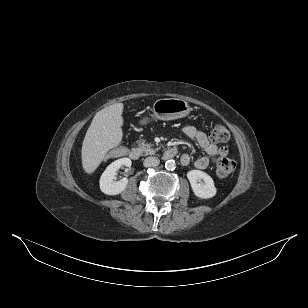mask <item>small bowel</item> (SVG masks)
I'll list each match as a JSON object with an SVG mask.
<instances>
[{
    "label": "small bowel",
    "mask_w": 308,
    "mask_h": 308,
    "mask_svg": "<svg viewBox=\"0 0 308 308\" xmlns=\"http://www.w3.org/2000/svg\"><path fill=\"white\" fill-rule=\"evenodd\" d=\"M182 132L204 150L205 156L198 157L194 165L198 169H206L212 162L219 160L221 157H225L228 154V149L224 146L219 147L211 142L206 134L195 127L192 124H186L182 128ZM191 162V156L189 154H183L181 156V163L188 165Z\"/></svg>",
    "instance_id": "small-bowel-1"
}]
</instances>
